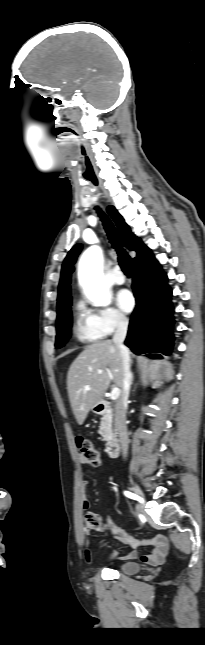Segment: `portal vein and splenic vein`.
Masks as SVG:
<instances>
[{"instance_id": "obj_1", "label": "portal vein and splenic vein", "mask_w": 205, "mask_h": 645, "mask_svg": "<svg viewBox=\"0 0 205 645\" xmlns=\"http://www.w3.org/2000/svg\"><path fill=\"white\" fill-rule=\"evenodd\" d=\"M101 373H102V371H99V374H101ZM87 389H89V388L87 387ZM119 395H120V389L118 387H115V388H113V390H112V392L110 394V398L112 400H116L119 397Z\"/></svg>"}]
</instances>
